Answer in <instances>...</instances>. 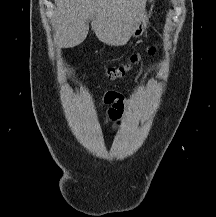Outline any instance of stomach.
Returning <instances> with one entry per match:
<instances>
[{"label": "stomach", "mask_w": 216, "mask_h": 217, "mask_svg": "<svg viewBox=\"0 0 216 217\" xmlns=\"http://www.w3.org/2000/svg\"><path fill=\"white\" fill-rule=\"evenodd\" d=\"M149 22V15L145 12L139 22L136 24L134 30L131 33L132 37L138 38L143 35L145 29L147 28V24Z\"/></svg>", "instance_id": "0dacf381"}]
</instances>
